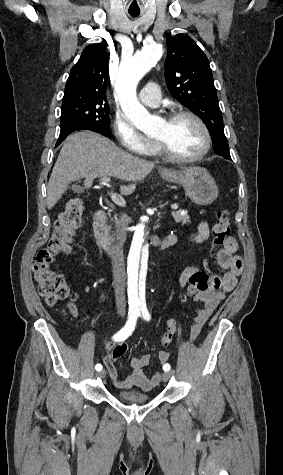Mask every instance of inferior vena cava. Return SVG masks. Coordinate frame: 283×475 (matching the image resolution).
<instances>
[{
  "instance_id": "1",
  "label": "inferior vena cava",
  "mask_w": 283,
  "mask_h": 475,
  "mask_svg": "<svg viewBox=\"0 0 283 475\" xmlns=\"http://www.w3.org/2000/svg\"><path fill=\"white\" fill-rule=\"evenodd\" d=\"M116 241L112 245L113 259H112V271H113V285L115 291V301L118 313H125L126 299H125V287H126V273H125V261L123 255V243L122 234L120 230H117Z\"/></svg>"
}]
</instances>
